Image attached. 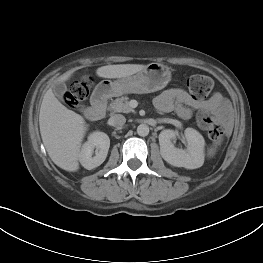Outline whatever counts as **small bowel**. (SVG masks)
Wrapping results in <instances>:
<instances>
[{
  "label": "small bowel",
  "mask_w": 263,
  "mask_h": 263,
  "mask_svg": "<svg viewBox=\"0 0 263 263\" xmlns=\"http://www.w3.org/2000/svg\"><path fill=\"white\" fill-rule=\"evenodd\" d=\"M157 110L164 113L175 112L187 119L193 110L213 113L223 119L229 118V104L218 92L208 99H197L181 88H169L162 91L154 100Z\"/></svg>",
  "instance_id": "1"
}]
</instances>
